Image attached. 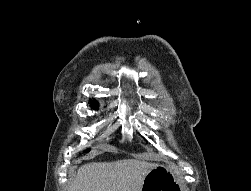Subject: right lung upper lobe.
<instances>
[{"instance_id":"cb5924a9","label":"right lung upper lobe","mask_w":251,"mask_h":191,"mask_svg":"<svg viewBox=\"0 0 251 191\" xmlns=\"http://www.w3.org/2000/svg\"><path fill=\"white\" fill-rule=\"evenodd\" d=\"M91 107L96 109L97 108V102L94 100V101H91Z\"/></svg>"}]
</instances>
